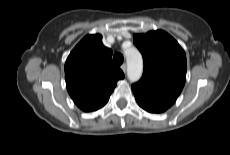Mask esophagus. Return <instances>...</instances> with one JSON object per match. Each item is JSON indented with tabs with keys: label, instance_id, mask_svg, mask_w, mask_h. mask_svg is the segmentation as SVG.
Here are the masks:
<instances>
[{
	"label": "esophagus",
	"instance_id": "34e87169",
	"mask_svg": "<svg viewBox=\"0 0 230 155\" xmlns=\"http://www.w3.org/2000/svg\"><path fill=\"white\" fill-rule=\"evenodd\" d=\"M121 69L124 73L126 72L127 66L125 63L121 65Z\"/></svg>",
	"mask_w": 230,
	"mask_h": 155
}]
</instances>
